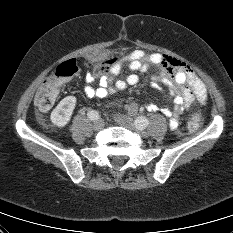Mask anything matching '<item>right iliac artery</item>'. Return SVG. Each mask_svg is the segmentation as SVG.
Instances as JSON below:
<instances>
[{
	"instance_id": "1",
	"label": "right iliac artery",
	"mask_w": 233,
	"mask_h": 233,
	"mask_svg": "<svg viewBox=\"0 0 233 233\" xmlns=\"http://www.w3.org/2000/svg\"><path fill=\"white\" fill-rule=\"evenodd\" d=\"M87 115L90 120H96L99 118V114L94 110L89 111Z\"/></svg>"
}]
</instances>
